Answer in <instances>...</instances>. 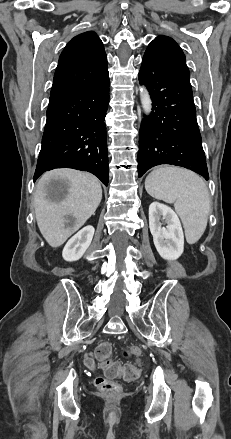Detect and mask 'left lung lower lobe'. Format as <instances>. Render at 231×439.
<instances>
[{"instance_id": "obj_1", "label": "left lung lower lobe", "mask_w": 231, "mask_h": 439, "mask_svg": "<svg viewBox=\"0 0 231 439\" xmlns=\"http://www.w3.org/2000/svg\"><path fill=\"white\" fill-rule=\"evenodd\" d=\"M139 81L146 85L153 105L140 127L139 176L153 166L172 164L208 180L189 76L157 49L147 48Z\"/></svg>"}]
</instances>
